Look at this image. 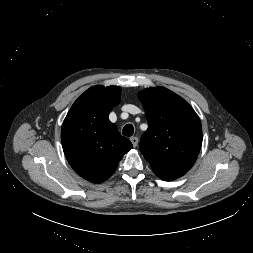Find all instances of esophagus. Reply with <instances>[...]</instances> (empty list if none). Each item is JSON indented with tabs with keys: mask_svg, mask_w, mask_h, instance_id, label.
Listing matches in <instances>:
<instances>
[{
	"mask_svg": "<svg viewBox=\"0 0 253 253\" xmlns=\"http://www.w3.org/2000/svg\"><path fill=\"white\" fill-rule=\"evenodd\" d=\"M130 141L132 142L134 147H136L138 145V138L137 137H131Z\"/></svg>",
	"mask_w": 253,
	"mask_h": 253,
	"instance_id": "34e87169",
	"label": "esophagus"
}]
</instances>
